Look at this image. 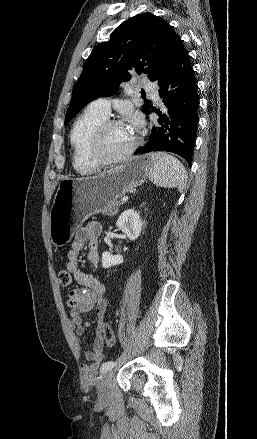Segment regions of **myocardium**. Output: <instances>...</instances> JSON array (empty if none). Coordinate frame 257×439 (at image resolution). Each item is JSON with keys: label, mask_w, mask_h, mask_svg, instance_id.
Returning <instances> with one entry per match:
<instances>
[{"label": "myocardium", "mask_w": 257, "mask_h": 439, "mask_svg": "<svg viewBox=\"0 0 257 439\" xmlns=\"http://www.w3.org/2000/svg\"><path fill=\"white\" fill-rule=\"evenodd\" d=\"M123 124L121 120L106 119L100 123L94 130L90 140V152L93 159L98 164L117 163L128 158L141 143L140 135H137L135 141L123 152L116 156L108 157L103 149L104 136L106 131L115 125Z\"/></svg>", "instance_id": "myocardium-1"}]
</instances>
